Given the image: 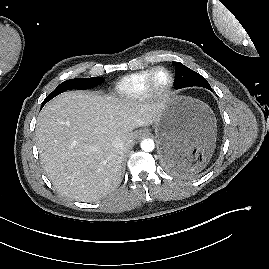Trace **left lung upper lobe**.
Instances as JSON below:
<instances>
[{
	"mask_svg": "<svg viewBox=\"0 0 269 269\" xmlns=\"http://www.w3.org/2000/svg\"><path fill=\"white\" fill-rule=\"evenodd\" d=\"M175 66V88H185L191 86H199L204 87L209 90L211 86L207 82V80L198 74L197 72L189 69L188 67L184 66L180 62H172Z\"/></svg>",
	"mask_w": 269,
	"mask_h": 269,
	"instance_id": "5c2ea615",
	"label": "left lung upper lobe"
}]
</instances>
